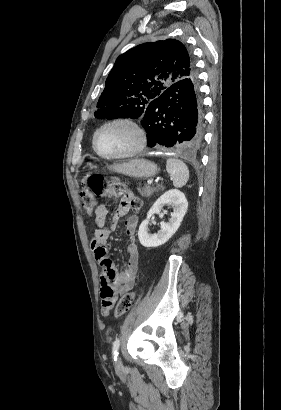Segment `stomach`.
Returning <instances> with one entry per match:
<instances>
[{"label": "stomach", "instance_id": "1", "mask_svg": "<svg viewBox=\"0 0 281 410\" xmlns=\"http://www.w3.org/2000/svg\"><path fill=\"white\" fill-rule=\"evenodd\" d=\"M110 169L134 178H149L158 172L157 165L146 159H132L114 164Z\"/></svg>", "mask_w": 281, "mask_h": 410}]
</instances>
